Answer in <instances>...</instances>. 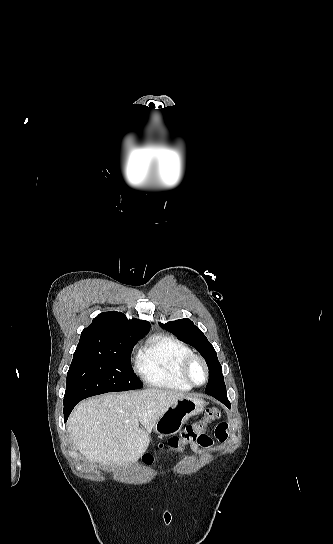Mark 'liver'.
Wrapping results in <instances>:
<instances>
[{
  "label": "liver",
  "mask_w": 333,
  "mask_h": 544,
  "mask_svg": "<svg viewBox=\"0 0 333 544\" xmlns=\"http://www.w3.org/2000/svg\"><path fill=\"white\" fill-rule=\"evenodd\" d=\"M184 397L152 388L87 399L74 408L68 428L86 459L105 466L129 465L147 451L156 422Z\"/></svg>",
  "instance_id": "obj_1"
}]
</instances>
